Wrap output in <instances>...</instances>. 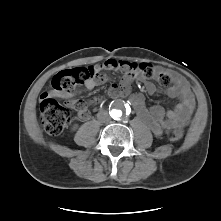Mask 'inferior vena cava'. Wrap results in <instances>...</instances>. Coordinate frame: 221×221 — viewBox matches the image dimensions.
<instances>
[{"label": "inferior vena cava", "instance_id": "obj_1", "mask_svg": "<svg viewBox=\"0 0 221 221\" xmlns=\"http://www.w3.org/2000/svg\"><path fill=\"white\" fill-rule=\"evenodd\" d=\"M97 118L99 119V121L103 122V123H108L111 118L108 115V113L106 111H101L97 114Z\"/></svg>", "mask_w": 221, "mask_h": 221}]
</instances>
